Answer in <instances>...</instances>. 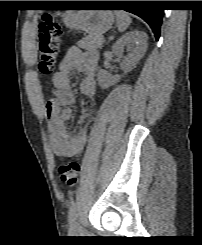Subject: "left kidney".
Masks as SVG:
<instances>
[{"mask_svg": "<svg viewBox=\"0 0 202 245\" xmlns=\"http://www.w3.org/2000/svg\"><path fill=\"white\" fill-rule=\"evenodd\" d=\"M147 34L142 31H132L123 35L112 47V52L118 58H122L121 68L124 73L130 72L144 56L147 49ZM127 48V55L123 56ZM121 79L119 75H111L106 70H100L97 80L101 88L106 89L116 84Z\"/></svg>", "mask_w": 202, "mask_h": 245, "instance_id": "left-kidney-1", "label": "left kidney"}]
</instances>
